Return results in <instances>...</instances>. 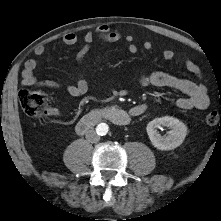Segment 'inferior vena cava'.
I'll return each instance as SVG.
<instances>
[{
    "mask_svg": "<svg viewBox=\"0 0 221 221\" xmlns=\"http://www.w3.org/2000/svg\"><path fill=\"white\" fill-rule=\"evenodd\" d=\"M86 139L91 143H97L100 140V136L95 130H89L86 133Z\"/></svg>",
    "mask_w": 221,
    "mask_h": 221,
    "instance_id": "602c4592",
    "label": "inferior vena cava"
}]
</instances>
